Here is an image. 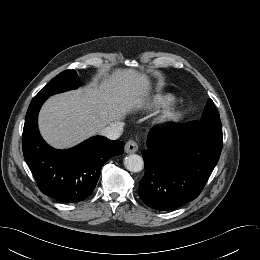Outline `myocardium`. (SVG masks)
<instances>
[{
	"label": "myocardium",
	"mask_w": 260,
	"mask_h": 260,
	"mask_svg": "<svg viewBox=\"0 0 260 260\" xmlns=\"http://www.w3.org/2000/svg\"><path fill=\"white\" fill-rule=\"evenodd\" d=\"M173 116V111L168 109L162 115V119H170Z\"/></svg>",
	"instance_id": "myocardium-1"
}]
</instances>
